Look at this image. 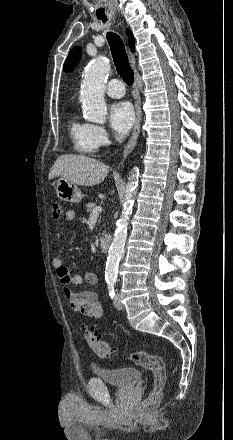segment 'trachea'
<instances>
[{
	"mask_svg": "<svg viewBox=\"0 0 233 440\" xmlns=\"http://www.w3.org/2000/svg\"><path fill=\"white\" fill-rule=\"evenodd\" d=\"M106 22L107 19H101ZM107 41L109 43L111 54L120 77L123 81L131 86L134 82V74L130 67L128 56L125 50L122 39L115 33L109 32L107 34Z\"/></svg>",
	"mask_w": 233,
	"mask_h": 440,
	"instance_id": "obj_1",
	"label": "trachea"
}]
</instances>
